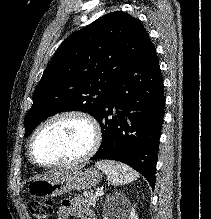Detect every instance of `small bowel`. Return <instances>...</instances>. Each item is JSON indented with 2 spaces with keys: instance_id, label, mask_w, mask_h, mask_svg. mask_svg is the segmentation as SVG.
I'll return each mask as SVG.
<instances>
[{
  "instance_id": "small-bowel-1",
  "label": "small bowel",
  "mask_w": 211,
  "mask_h": 219,
  "mask_svg": "<svg viewBox=\"0 0 211 219\" xmlns=\"http://www.w3.org/2000/svg\"><path fill=\"white\" fill-rule=\"evenodd\" d=\"M73 216L81 219H97L92 210L83 204L80 197L65 200L57 212L56 219H69Z\"/></svg>"
}]
</instances>
